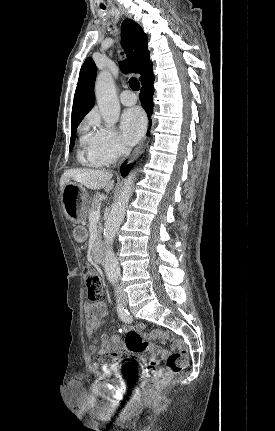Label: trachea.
I'll return each instance as SVG.
<instances>
[{"label":"trachea","instance_id":"1","mask_svg":"<svg viewBox=\"0 0 275 431\" xmlns=\"http://www.w3.org/2000/svg\"><path fill=\"white\" fill-rule=\"evenodd\" d=\"M129 85H130L131 89L134 91H138L140 88V83L136 78H131L129 80Z\"/></svg>","mask_w":275,"mask_h":431}]
</instances>
